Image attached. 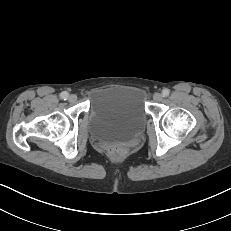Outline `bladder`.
I'll return each instance as SVG.
<instances>
[{
	"label": "bladder",
	"mask_w": 231,
	"mask_h": 231,
	"mask_svg": "<svg viewBox=\"0 0 231 231\" xmlns=\"http://www.w3.org/2000/svg\"><path fill=\"white\" fill-rule=\"evenodd\" d=\"M89 131L100 142H126L138 137L147 120L144 92L136 87H111L93 93Z\"/></svg>",
	"instance_id": "1"
}]
</instances>
